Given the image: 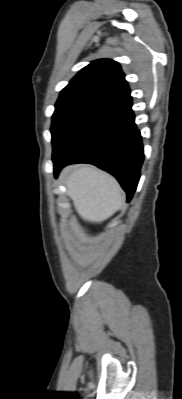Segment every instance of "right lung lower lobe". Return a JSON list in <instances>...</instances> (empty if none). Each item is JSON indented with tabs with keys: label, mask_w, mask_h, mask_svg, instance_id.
<instances>
[{
	"label": "right lung lower lobe",
	"mask_w": 182,
	"mask_h": 399,
	"mask_svg": "<svg viewBox=\"0 0 182 399\" xmlns=\"http://www.w3.org/2000/svg\"><path fill=\"white\" fill-rule=\"evenodd\" d=\"M144 151L130 94L112 100L78 122L53 147L54 175L68 164L90 163L112 174L127 193L136 190Z\"/></svg>",
	"instance_id": "98d812e1"
}]
</instances>
